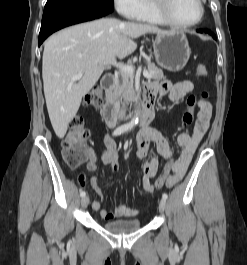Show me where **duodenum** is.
Instances as JSON below:
<instances>
[{"mask_svg": "<svg viewBox=\"0 0 247 265\" xmlns=\"http://www.w3.org/2000/svg\"><path fill=\"white\" fill-rule=\"evenodd\" d=\"M115 81L116 77L112 73H106L102 78L101 85L105 90L110 92ZM153 104H154V93L151 90L147 89L144 98L143 111L140 114L133 116V118L138 119V125L146 126L148 123H150L153 120L155 116V110L153 108ZM102 112L104 119L109 125L116 124V122L119 119V109L115 106V104L111 100H108L105 103Z\"/></svg>", "mask_w": 247, "mask_h": 265, "instance_id": "1", "label": "duodenum"}]
</instances>
